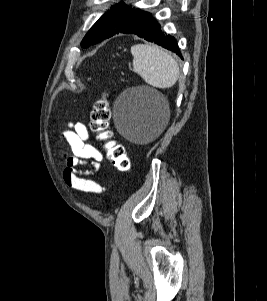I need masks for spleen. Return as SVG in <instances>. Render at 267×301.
Segmentation results:
<instances>
[{
  "label": "spleen",
  "mask_w": 267,
  "mask_h": 301,
  "mask_svg": "<svg viewBox=\"0 0 267 301\" xmlns=\"http://www.w3.org/2000/svg\"><path fill=\"white\" fill-rule=\"evenodd\" d=\"M133 70L144 81L156 88L172 87L179 77V67L175 59L157 46L137 44L131 48Z\"/></svg>",
  "instance_id": "obj_1"
}]
</instances>
